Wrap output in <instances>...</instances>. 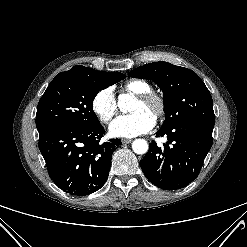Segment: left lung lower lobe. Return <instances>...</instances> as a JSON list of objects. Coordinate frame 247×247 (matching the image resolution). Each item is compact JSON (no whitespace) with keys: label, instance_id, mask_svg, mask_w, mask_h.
I'll return each instance as SVG.
<instances>
[{"label":"left lung lower lobe","instance_id":"obj_1","mask_svg":"<svg viewBox=\"0 0 247 247\" xmlns=\"http://www.w3.org/2000/svg\"><path fill=\"white\" fill-rule=\"evenodd\" d=\"M213 129L185 122L161 128L157 137L167 136L163 148L153 141L140 166L146 178L165 190L187 186L200 173L204 159L212 147Z\"/></svg>","mask_w":247,"mask_h":247}]
</instances>
